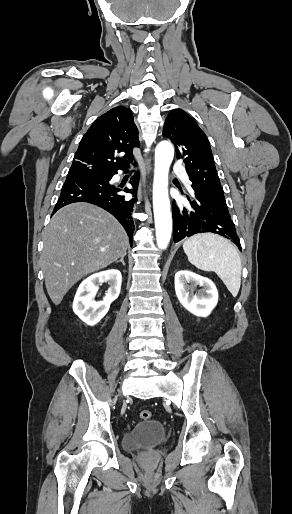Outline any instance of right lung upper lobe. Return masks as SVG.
<instances>
[{
  "label": "right lung upper lobe",
  "instance_id": "cb5924a9",
  "mask_svg": "<svg viewBox=\"0 0 292 514\" xmlns=\"http://www.w3.org/2000/svg\"><path fill=\"white\" fill-rule=\"evenodd\" d=\"M130 109L117 106L101 115L82 137L68 175H108L127 169L139 147Z\"/></svg>",
  "mask_w": 292,
  "mask_h": 514
}]
</instances>
